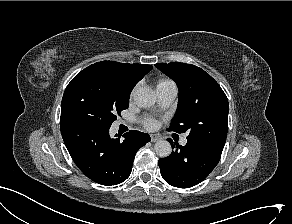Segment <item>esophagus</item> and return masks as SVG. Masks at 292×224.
<instances>
[{
  "instance_id": "esophagus-1",
  "label": "esophagus",
  "mask_w": 292,
  "mask_h": 224,
  "mask_svg": "<svg viewBox=\"0 0 292 224\" xmlns=\"http://www.w3.org/2000/svg\"><path fill=\"white\" fill-rule=\"evenodd\" d=\"M150 137L152 142H157L161 140V137L158 134H151Z\"/></svg>"
}]
</instances>
